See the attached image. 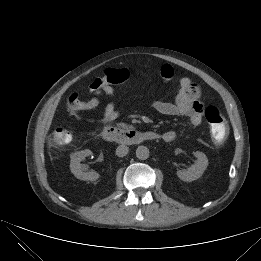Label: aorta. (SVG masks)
Returning a JSON list of instances; mask_svg holds the SVG:
<instances>
[{
	"label": "aorta",
	"instance_id": "aorta-1",
	"mask_svg": "<svg viewBox=\"0 0 261 261\" xmlns=\"http://www.w3.org/2000/svg\"><path fill=\"white\" fill-rule=\"evenodd\" d=\"M136 157L140 160H146L149 157V149L146 146H139L136 149Z\"/></svg>",
	"mask_w": 261,
	"mask_h": 261
}]
</instances>
